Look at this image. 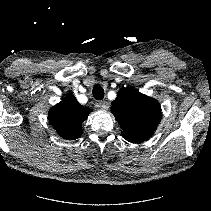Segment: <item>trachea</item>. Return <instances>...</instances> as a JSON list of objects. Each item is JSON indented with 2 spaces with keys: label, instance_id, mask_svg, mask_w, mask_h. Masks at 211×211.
<instances>
[{
  "label": "trachea",
  "instance_id": "obj_1",
  "mask_svg": "<svg viewBox=\"0 0 211 211\" xmlns=\"http://www.w3.org/2000/svg\"><path fill=\"white\" fill-rule=\"evenodd\" d=\"M92 93L93 97L97 100H102L104 98V89L100 85H95Z\"/></svg>",
  "mask_w": 211,
  "mask_h": 211
}]
</instances>
